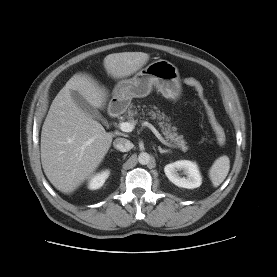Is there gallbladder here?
I'll use <instances>...</instances> for the list:
<instances>
[{
	"label": "gallbladder",
	"mask_w": 277,
	"mask_h": 277,
	"mask_svg": "<svg viewBox=\"0 0 277 277\" xmlns=\"http://www.w3.org/2000/svg\"><path fill=\"white\" fill-rule=\"evenodd\" d=\"M71 97L75 104L80 107L86 114L90 115L94 119L101 121L104 125H107V120L102 117L99 111L91 106L79 92L71 91Z\"/></svg>",
	"instance_id": "1"
}]
</instances>
